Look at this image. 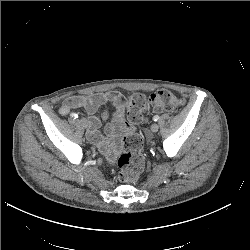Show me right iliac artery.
<instances>
[{
  "instance_id": "obj_1",
  "label": "right iliac artery",
  "mask_w": 250,
  "mask_h": 250,
  "mask_svg": "<svg viewBox=\"0 0 250 250\" xmlns=\"http://www.w3.org/2000/svg\"><path fill=\"white\" fill-rule=\"evenodd\" d=\"M70 117L73 118V119H76V118H78V115L76 113H71Z\"/></svg>"
}]
</instances>
